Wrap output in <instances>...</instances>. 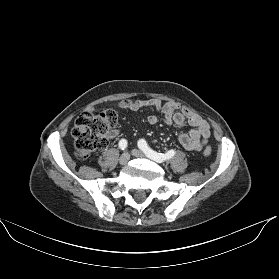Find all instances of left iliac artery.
<instances>
[{"instance_id": "obj_1", "label": "left iliac artery", "mask_w": 279, "mask_h": 279, "mask_svg": "<svg viewBox=\"0 0 279 279\" xmlns=\"http://www.w3.org/2000/svg\"><path fill=\"white\" fill-rule=\"evenodd\" d=\"M138 147L145 153L147 157H149L152 160H155L159 163H162L170 158H172L175 155L174 150H169L167 153H157L156 151L152 150L147 142L144 139H140L138 141Z\"/></svg>"}]
</instances>
